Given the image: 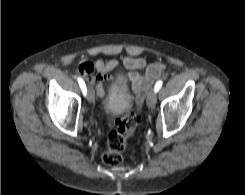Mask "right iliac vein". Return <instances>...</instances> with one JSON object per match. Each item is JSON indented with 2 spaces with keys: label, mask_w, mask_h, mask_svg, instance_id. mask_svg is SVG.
Segmentation results:
<instances>
[{
  "label": "right iliac vein",
  "mask_w": 245,
  "mask_h": 195,
  "mask_svg": "<svg viewBox=\"0 0 245 195\" xmlns=\"http://www.w3.org/2000/svg\"><path fill=\"white\" fill-rule=\"evenodd\" d=\"M87 99L91 103L94 102V100H95V93H94V90L91 87H88Z\"/></svg>",
  "instance_id": "right-iliac-vein-1"
}]
</instances>
